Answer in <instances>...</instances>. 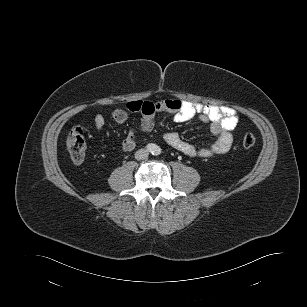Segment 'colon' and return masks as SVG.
<instances>
[{
    "label": "colon",
    "instance_id": "obj_1",
    "mask_svg": "<svg viewBox=\"0 0 307 307\" xmlns=\"http://www.w3.org/2000/svg\"><path fill=\"white\" fill-rule=\"evenodd\" d=\"M255 137L252 134H246L242 138V146L251 148L255 145ZM67 148L73 162L81 163L84 160L86 152L85 131L81 126L74 127L67 139Z\"/></svg>",
    "mask_w": 307,
    "mask_h": 307
}]
</instances>
